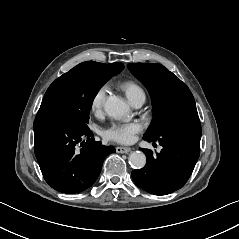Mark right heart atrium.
I'll return each instance as SVG.
<instances>
[{"label": "right heart atrium", "instance_id": "1", "mask_svg": "<svg viewBox=\"0 0 239 239\" xmlns=\"http://www.w3.org/2000/svg\"><path fill=\"white\" fill-rule=\"evenodd\" d=\"M108 85H101L93 93L90 100V109L93 113H96L103 109L105 97L108 92Z\"/></svg>", "mask_w": 239, "mask_h": 239}]
</instances>
